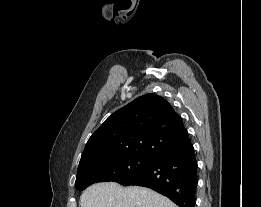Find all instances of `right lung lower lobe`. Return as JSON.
<instances>
[{
  "label": "right lung lower lobe",
  "instance_id": "right-lung-lower-lobe-1",
  "mask_svg": "<svg viewBox=\"0 0 261 207\" xmlns=\"http://www.w3.org/2000/svg\"><path fill=\"white\" fill-rule=\"evenodd\" d=\"M197 182V161L189 142L180 149L159 155L149 167L118 183L148 187L179 207H195Z\"/></svg>",
  "mask_w": 261,
  "mask_h": 207
}]
</instances>
